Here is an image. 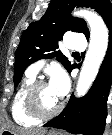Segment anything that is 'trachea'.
I'll list each match as a JSON object with an SVG mask.
<instances>
[{"mask_svg":"<svg viewBox=\"0 0 112 135\" xmlns=\"http://www.w3.org/2000/svg\"><path fill=\"white\" fill-rule=\"evenodd\" d=\"M74 55H78V53L77 52H75V53H73Z\"/></svg>","mask_w":112,"mask_h":135,"instance_id":"1","label":"trachea"}]
</instances>
